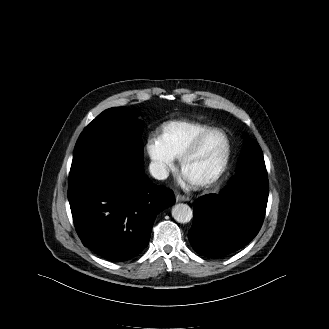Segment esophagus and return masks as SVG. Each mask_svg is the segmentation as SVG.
I'll list each match as a JSON object with an SVG mask.
<instances>
[{
    "instance_id": "obj_1",
    "label": "esophagus",
    "mask_w": 329,
    "mask_h": 329,
    "mask_svg": "<svg viewBox=\"0 0 329 329\" xmlns=\"http://www.w3.org/2000/svg\"><path fill=\"white\" fill-rule=\"evenodd\" d=\"M189 200V198L188 197H186V196H184V195H176V201L177 202H180V201H188Z\"/></svg>"
}]
</instances>
